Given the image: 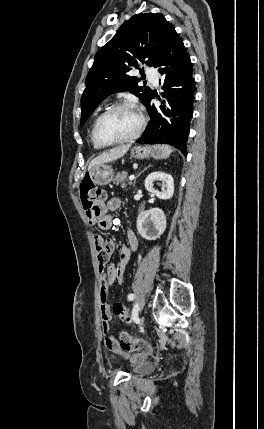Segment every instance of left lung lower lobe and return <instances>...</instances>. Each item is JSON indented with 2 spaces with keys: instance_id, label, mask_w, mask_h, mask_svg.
I'll return each instance as SVG.
<instances>
[{
  "instance_id": "left-lung-lower-lobe-1",
  "label": "left lung lower lobe",
  "mask_w": 264,
  "mask_h": 429,
  "mask_svg": "<svg viewBox=\"0 0 264 429\" xmlns=\"http://www.w3.org/2000/svg\"><path fill=\"white\" fill-rule=\"evenodd\" d=\"M155 67H160L158 71L164 76L162 95L165 100L160 107L151 104L155 95L152 92L145 105L151 121L136 142L170 144L187 155L195 80L190 57L175 29L169 32Z\"/></svg>"
}]
</instances>
